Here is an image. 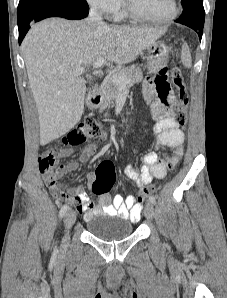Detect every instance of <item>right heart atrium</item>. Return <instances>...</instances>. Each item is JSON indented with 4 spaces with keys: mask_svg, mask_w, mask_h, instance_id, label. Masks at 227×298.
I'll list each match as a JSON object with an SVG mask.
<instances>
[{
    "mask_svg": "<svg viewBox=\"0 0 227 298\" xmlns=\"http://www.w3.org/2000/svg\"><path fill=\"white\" fill-rule=\"evenodd\" d=\"M87 2L105 15H115L121 7V0H87Z\"/></svg>",
    "mask_w": 227,
    "mask_h": 298,
    "instance_id": "right-heart-atrium-1",
    "label": "right heart atrium"
}]
</instances>
